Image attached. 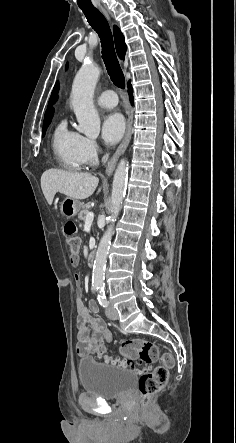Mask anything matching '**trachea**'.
I'll return each mask as SVG.
<instances>
[{
    "label": "trachea",
    "mask_w": 236,
    "mask_h": 443,
    "mask_svg": "<svg viewBox=\"0 0 236 443\" xmlns=\"http://www.w3.org/2000/svg\"><path fill=\"white\" fill-rule=\"evenodd\" d=\"M82 11L89 24L100 37L102 44V58L112 82L117 87L124 89L125 77L115 53L113 36L107 20L96 8L82 9Z\"/></svg>",
    "instance_id": "obj_1"
}]
</instances>
